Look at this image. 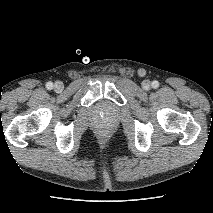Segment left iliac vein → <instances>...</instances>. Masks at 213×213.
<instances>
[{
  "label": "left iliac vein",
  "instance_id": "obj_1",
  "mask_svg": "<svg viewBox=\"0 0 213 213\" xmlns=\"http://www.w3.org/2000/svg\"><path fill=\"white\" fill-rule=\"evenodd\" d=\"M142 87H143L144 90H149L150 89V81L144 80L142 82Z\"/></svg>",
  "mask_w": 213,
  "mask_h": 213
}]
</instances>
